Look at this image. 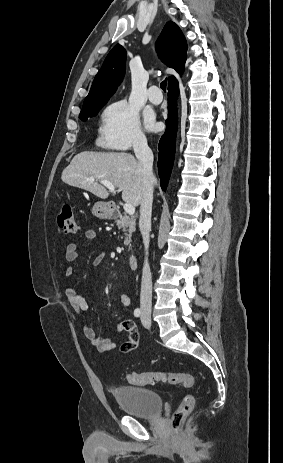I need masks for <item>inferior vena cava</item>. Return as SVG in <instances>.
<instances>
[{
	"label": "inferior vena cava",
	"mask_w": 283,
	"mask_h": 463,
	"mask_svg": "<svg viewBox=\"0 0 283 463\" xmlns=\"http://www.w3.org/2000/svg\"><path fill=\"white\" fill-rule=\"evenodd\" d=\"M133 149L142 172V199L140 202L139 228L145 247V261L142 270L140 308L142 311H151L152 306V277L148 263V247L150 242L151 214L153 202V189L155 177L153 174V153L145 137H138L133 142Z\"/></svg>",
	"instance_id": "obj_1"
}]
</instances>
